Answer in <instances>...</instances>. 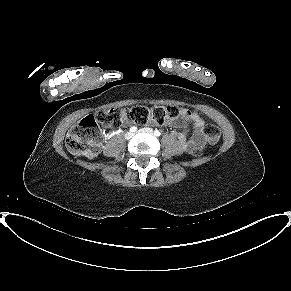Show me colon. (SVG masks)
<instances>
[{"mask_svg": "<svg viewBox=\"0 0 291 291\" xmlns=\"http://www.w3.org/2000/svg\"><path fill=\"white\" fill-rule=\"evenodd\" d=\"M180 109L174 106H135L127 109L112 108L98 111L83 117L67 134L66 148L73 154L94 157L100 150L102 127H115L124 120L139 125L146 123L163 124L166 120L179 116ZM204 136L208 144L215 145L220 139V130L214 124L204 126ZM195 157L202 154L201 149L192 152Z\"/></svg>", "mask_w": 291, "mask_h": 291, "instance_id": "obj_1", "label": "colon"}]
</instances>
